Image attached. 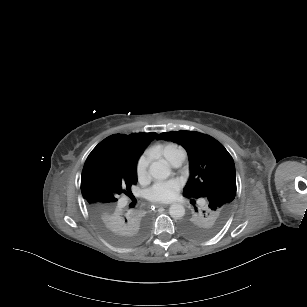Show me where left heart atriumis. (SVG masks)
I'll list each match as a JSON object with an SVG mask.
<instances>
[{"label": "left heart atrium", "mask_w": 307, "mask_h": 307, "mask_svg": "<svg viewBox=\"0 0 307 307\" xmlns=\"http://www.w3.org/2000/svg\"><path fill=\"white\" fill-rule=\"evenodd\" d=\"M177 187L171 181L156 183L148 190V197L152 201L166 202L174 198Z\"/></svg>", "instance_id": "1"}]
</instances>
